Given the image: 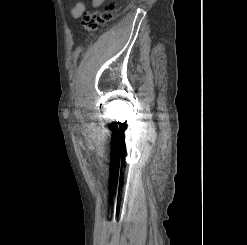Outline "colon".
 Masks as SVG:
<instances>
[{
    "mask_svg": "<svg viewBox=\"0 0 247 245\" xmlns=\"http://www.w3.org/2000/svg\"><path fill=\"white\" fill-rule=\"evenodd\" d=\"M115 12L114 0H109L104 6L99 9L88 11L84 14L81 25L85 31H95L102 25L109 22Z\"/></svg>",
    "mask_w": 247,
    "mask_h": 245,
    "instance_id": "obj_1",
    "label": "colon"
}]
</instances>
